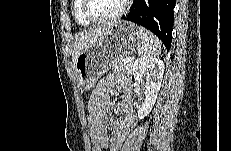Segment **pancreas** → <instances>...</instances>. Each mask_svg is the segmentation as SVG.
<instances>
[{"mask_svg":"<svg viewBox=\"0 0 231 151\" xmlns=\"http://www.w3.org/2000/svg\"><path fill=\"white\" fill-rule=\"evenodd\" d=\"M133 62H126L125 57H119L111 66L112 70L131 72Z\"/></svg>","mask_w":231,"mask_h":151,"instance_id":"cf45deb5","label":"pancreas"}]
</instances>
